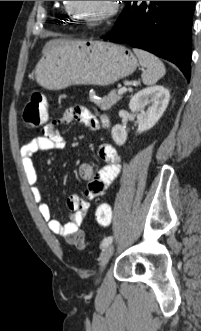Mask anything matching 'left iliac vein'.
<instances>
[{
  "instance_id": "left-iliac-vein-1",
  "label": "left iliac vein",
  "mask_w": 201,
  "mask_h": 331,
  "mask_svg": "<svg viewBox=\"0 0 201 331\" xmlns=\"http://www.w3.org/2000/svg\"><path fill=\"white\" fill-rule=\"evenodd\" d=\"M114 247L113 245L109 244L108 246L105 247L104 252L100 256V267L101 271H103L111 258L113 254Z\"/></svg>"
}]
</instances>
